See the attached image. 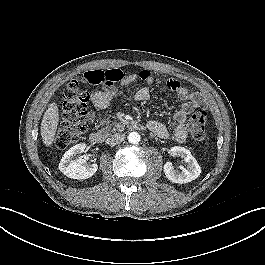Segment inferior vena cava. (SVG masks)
Listing matches in <instances>:
<instances>
[{
  "instance_id": "inferior-vena-cava-1",
  "label": "inferior vena cava",
  "mask_w": 265,
  "mask_h": 265,
  "mask_svg": "<svg viewBox=\"0 0 265 265\" xmlns=\"http://www.w3.org/2000/svg\"><path fill=\"white\" fill-rule=\"evenodd\" d=\"M125 139V135L124 134H119L116 133L114 135H112L110 138L107 139V143L114 146L116 144H119L121 142H123Z\"/></svg>"
}]
</instances>
